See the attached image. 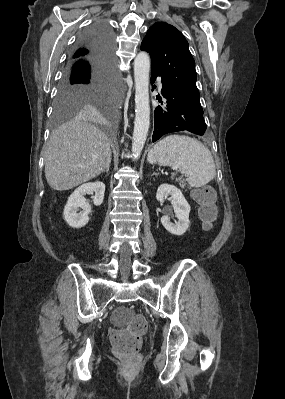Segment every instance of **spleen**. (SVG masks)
Returning <instances> with one entry per match:
<instances>
[{
  "mask_svg": "<svg viewBox=\"0 0 285 399\" xmlns=\"http://www.w3.org/2000/svg\"><path fill=\"white\" fill-rule=\"evenodd\" d=\"M153 151L161 165L178 168L182 174L187 175V181L192 187H202L216 175L210 150L195 138L169 135L159 141Z\"/></svg>",
  "mask_w": 285,
  "mask_h": 399,
  "instance_id": "obj_1",
  "label": "spleen"
}]
</instances>
